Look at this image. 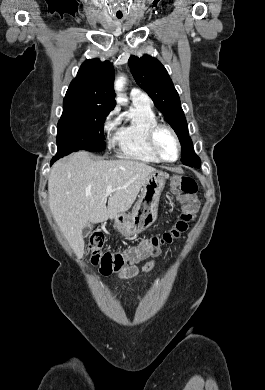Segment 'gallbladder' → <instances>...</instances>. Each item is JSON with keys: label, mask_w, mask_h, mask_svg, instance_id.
Segmentation results:
<instances>
[{"label": "gallbladder", "mask_w": 265, "mask_h": 390, "mask_svg": "<svg viewBox=\"0 0 265 390\" xmlns=\"http://www.w3.org/2000/svg\"><path fill=\"white\" fill-rule=\"evenodd\" d=\"M90 233H91V224H90V223H87V224L84 226L83 230H82V236H83V237H87V236L90 235Z\"/></svg>", "instance_id": "bac80fb5"}]
</instances>
